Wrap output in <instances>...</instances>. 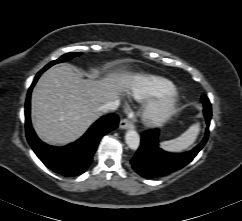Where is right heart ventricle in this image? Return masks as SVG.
Returning a JSON list of instances; mask_svg holds the SVG:
<instances>
[{
  "label": "right heart ventricle",
  "instance_id": "right-heart-ventricle-1",
  "mask_svg": "<svg viewBox=\"0 0 242 221\" xmlns=\"http://www.w3.org/2000/svg\"><path fill=\"white\" fill-rule=\"evenodd\" d=\"M130 91L135 100L144 101L174 91V85L162 77L139 76L131 86Z\"/></svg>",
  "mask_w": 242,
  "mask_h": 221
}]
</instances>
